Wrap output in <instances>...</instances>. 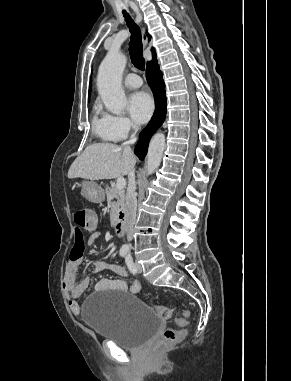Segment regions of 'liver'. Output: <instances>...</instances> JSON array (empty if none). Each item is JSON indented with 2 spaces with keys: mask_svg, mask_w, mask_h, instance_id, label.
<instances>
[{
  "mask_svg": "<svg viewBox=\"0 0 291 381\" xmlns=\"http://www.w3.org/2000/svg\"><path fill=\"white\" fill-rule=\"evenodd\" d=\"M136 158L132 150L123 145L94 143L86 147L70 166L68 178L102 180L128 175L134 168Z\"/></svg>",
  "mask_w": 291,
  "mask_h": 381,
  "instance_id": "liver-1",
  "label": "liver"
}]
</instances>
